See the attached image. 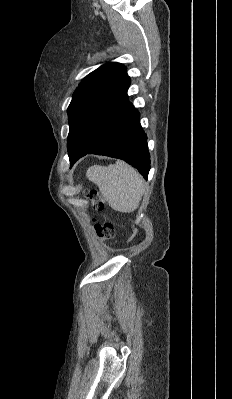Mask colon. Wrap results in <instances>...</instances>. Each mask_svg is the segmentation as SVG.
<instances>
[{
    "instance_id": "colon-1",
    "label": "colon",
    "mask_w": 232,
    "mask_h": 399,
    "mask_svg": "<svg viewBox=\"0 0 232 399\" xmlns=\"http://www.w3.org/2000/svg\"><path fill=\"white\" fill-rule=\"evenodd\" d=\"M84 196H86V208H91V204L94 203V196L102 197V200H97L94 210L107 212V195H102V191H84ZM101 225H96V235L107 237V235L117 234V225L111 224V218H106V221H102Z\"/></svg>"
}]
</instances>
